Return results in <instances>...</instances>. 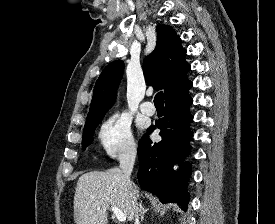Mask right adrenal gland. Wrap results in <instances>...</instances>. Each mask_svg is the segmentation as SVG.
Listing matches in <instances>:
<instances>
[{"instance_id": "2a0ac1e0", "label": "right adrenal gland", "mask_w": 275, "mask_h": 224, "mask_svg": "<svg viewBox=\"0 0 275 224\" xmlns=\"http://www.w3.org/2000/svg\"><path fill=\"white\" fill-rule=\"evenodd\" d=\"M149 209H145L142 205V202L139 204V212H140V221L143 222L145 213L148 212ZM139 222V221H138ZM139 224V223H138Z\"/></svg>"}]
</instances>
